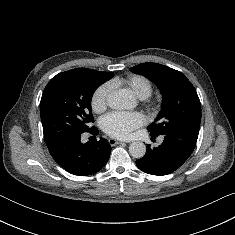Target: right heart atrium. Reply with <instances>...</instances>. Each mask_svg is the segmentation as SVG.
Instances as JSON below:
<instances>
[{
    "label": "right heart atrium",
    "mask_w": 235,
    "mask_h": 235,
    "mask_svg": "<svg viewBox=\"0 0 235 235\" xmlns=\"http://www.w3.org/2000/svg\"><path fill=\"white\" fill-rule=\"evenodd\" d=\"M111 91L109 83H103L95 89L91 97V108L94 112L100 113L107 108Z\"/></svg>",
    "instance_id": "obj_1"
}]
</instances>
